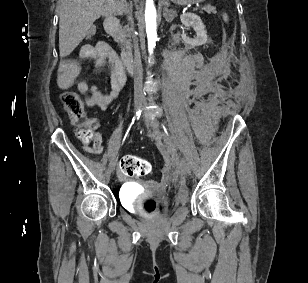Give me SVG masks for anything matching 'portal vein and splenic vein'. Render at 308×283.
Listing matches in <instances>:
<instances>
[{
    "label": "portal vein and splenic vein",
    "instance_id": "obj_1",
    "mask_svg": "<svg viewBox=\"0 0 308 283\" xmlns=\"http://www.w3.org/2000/svg\"><path fill=\"white\" fill-rule=\"evenodd\" d=\"M199 8H200V6L197 5V6L194 8V10H198Z\"/></svg>",
    "mask_w": 308,
    "mask_h": 283
}]
</instances>
